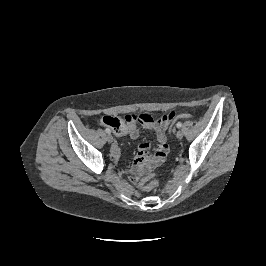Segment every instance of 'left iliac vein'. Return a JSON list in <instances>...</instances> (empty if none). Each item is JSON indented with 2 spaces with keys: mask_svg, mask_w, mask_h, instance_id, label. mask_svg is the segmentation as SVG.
Returning a JSON list of instances; mask_svg holds the SVG:
<instances>
[{
  "mask_svg": "<svg viewBox=\"0 0 266 266\" xmlns=\"http://www.w3.org/2000/svg\"><path fill=\"white\" fill-rule=\"evenodd\" d=\"M176 137H177L178 139H182V138H183V132H182L181 130H178V131L176 132Z\"/></svg>",
  "mask_w": 266,
  "mask_h": 266,
  "instance_id": "4c4485c4",
  "label": "left iliac vein"
}]
</instances>
